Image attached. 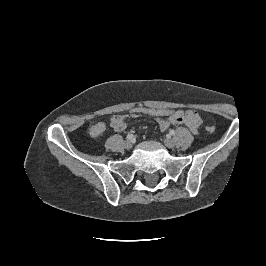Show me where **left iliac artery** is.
<instances>
[{
  "instance_id": "1",
  "label": "left iliac artery",
  "mask_w": 266,
  "mask_h": 266,
  "mask_svg": "<svg viewBox=\"0 0 266 266\" xmlns=\"http://www.w3.org/2000/svg\"><path fill=\"white\" fill-rule=\"evenodd\" d=\"M169 133H170L171 135H174V134H175V131H174V130H170Z\"/></svg>"
}]
</instances>
